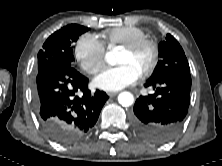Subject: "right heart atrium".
Masks as SVG:
<instances>
[{"label": "right heart atrium", "instance_id": "1", "mask_svg": "<svg viewBox=\"0 0 222 166\" xmlns=\"http://www.w3.org/2000/svg\"><path fill=\"white\" fill-rule=\"evenodd\" d=\"M74 56L84 72L95 74L104 64L105 46L95 35L83 34L76 42Z\"/></svg>", "mask_w": 222, "mask_h": 166}]
</instances>
